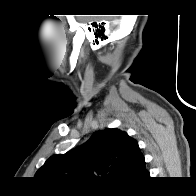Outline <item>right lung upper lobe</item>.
<instances>
[{
	"label": "right lung upper lobe",
	"instance_id": "1",
	"mask_svg": "<svg viewBox=\"0 0 196 196\" xmlns=\"http://www.w3.org/2000/svg\"><path fill=\"white\" fill-rule=\"evenodd\" d=\"M149 173L136 140L120 129L98 131L83 145L51 156L35 177L51 185L110 181L136 184Z\"/></svg>",
	"mask_w": 196,
	"mask_h": 196
}]
</instances>
